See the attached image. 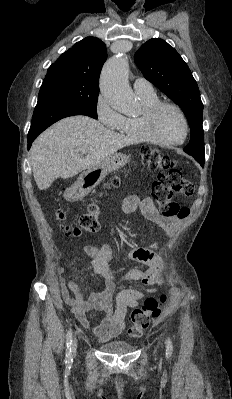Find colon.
I'll return each instance as SVG.
<instances>
[{"instance_id":"obj_1","label":"colon","mask_w":232,"mask_h":399,"mask_svg":"<svg viewBox=\"0 0 232 399\" xmlns=\"http://www.w3.org/2000/svg\"><path fill=\"white\" fill-rule=\"evenodd\" d=\"M141 165H147L149 168H157L158 172H169V175H155L157 185L151 186V191L159 196H191L195 190L194 184L185 179V175H181V170L173 158L159 154L153 147H148L144 151ZM112 185H123V180H112ZM155 203H162L161 212L164 218H186V207H182V203H174V198H155ZM101 202L97 198L90 199L85 205V213L79 222L70 221L61 209H56L52 213L53 221L60 231H67L65 238L74 236H82L87 232H98L99 222L96 220ZM147 301H165V296H147ZM147 311H136L131 314L133 325L131 326V334L133 338H141L145 334V330L160 315V310L155 303H146Z\"/></svg>"}]
</instances>
